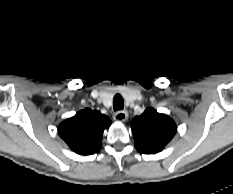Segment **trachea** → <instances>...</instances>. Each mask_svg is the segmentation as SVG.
Instances as JSON below:
<instances>
[{
	"mask_svg": "<svg viewBox=\"0 0 233 194\" xmlns=\"http://www.w3.org/2000/svg\"><path fill=\"white\" fill-rule=\"evenodd\" d=\"M124 107V100L120 94H116L113 99V108L115 111L122 110Z\"/></svg>",
	"mask_w": 233,
	"mask_h": 194,
	"instance_id": "3493384b",
	"label": "trachea"
}]
</instances>
